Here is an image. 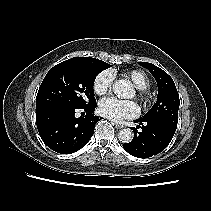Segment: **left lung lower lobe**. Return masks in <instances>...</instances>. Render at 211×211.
<instances>
[{"label": "left lung lower lobe", "mask_w": 211, "mask_h": 211, "mask_svg": "<svg viewBox=\"0 0 211 211\" xmlns=\"http://www.w3.org/2000/svg\"><path fill=\"white\" fill-rule=\"evenodd\" d=\"M139 125L132 127L134 138L123 144V148L138 158H149L162 152L172 140L176 127L158 120L138 119ZM141 128L139 132L137 129Z\"/></svg>", "instance_id": "obj_1"}]
</instances>
